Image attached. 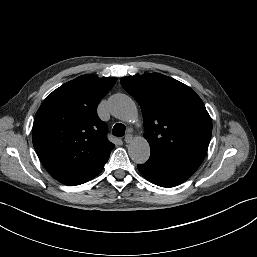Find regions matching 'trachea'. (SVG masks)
<instances>
[{
    "mask_svg": "<svg viewBox=\"0 0 257 257\" xmlns=\"http://www.w3.org/2000/svg\"><path fill=\"white\" fill-rule=\"evenodd\" d=\"M125 130H126V128H125V125H124V124H122V123H117V124H115L114 127H113L112 134H113L114 136H117V137H122V136L125 135Z\"/></svg>",
    "mask_w": 257,
    "mask_h": 257,
    "instance_id": "3493384b",
    "label": "trachea"
}]
</instances>
